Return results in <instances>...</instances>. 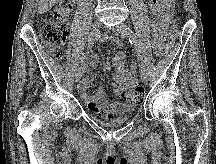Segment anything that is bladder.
<instances>
[{
  "mask_svg": "<svg viewBox=\"0 0 216 164\" xmlns=\"http://www.w3.org/2000/svg\"><path fill=\"white\" fill-rule=\"evenodd\" d=\"M131 118V114L124 115L122 117L116 118V119H111V120H99L96 119L95 121L103 126L107 127H113V126H118L121 125L125 122H127Z\"/></svg>",
  "mask_w": 216,
  "mask_h": 164,
  "instance_id": "bladder-1",
  "label": "bladder"
}]
</instances>
